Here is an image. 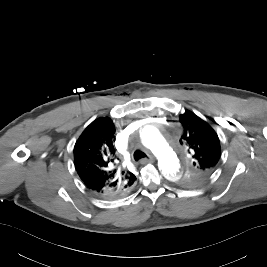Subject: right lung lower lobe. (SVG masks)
<instances>
[{
	"mask_svg": "<svg viewBox=\"0 0 267 267\" xmlns=\"http://www.w3.org/2000/svg\"><path fill=\"white\" fill-rule=\"evenodd\" d=\"M132 188V186L130 188H128V190H130ZM123 197V195H114L112 197H105V198H109V199H113V198H120Z\"/></svg>",
	"mask_w": 267,
	"mask_h": 267,
	"instance_id": "98d812e1",
	"label": "right lung lower lobe"
}]
</instances>
